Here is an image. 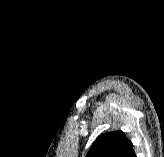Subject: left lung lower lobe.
Returning <instances> with one entry per match:
<instances>
[{
  "label": "left lung lower lobe",
  "mask_w": 164,
  "mask_h": 157,
  "mask_svg": "<svg viewBox=\"0 0 164 157\" xmlns=\"http://www.w3.org/2000/svg\"><path fill=\"white\" fill-rule=\"evenodd\" d=\"M128 157H136L134 150H132V152L130 153Z\"/></svg>",
  "instance_id": "0a47b994"
}]
</instances>
